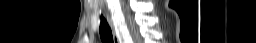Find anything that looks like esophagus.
<instances>
[{"label":"esophagus","mask_w":256,"mask_h":43,"mask_svg":"<svg viewBox=\"0 0 256 43\" xmlns=\"http://www.w3.org/2000/svg\"><path fill=\"white\" fill-rule=\"evenodd\" d=\"M109 23H110V25H111V27H112V29H113V22H112L111 19H109ZM113 39H114V43H119L118 39L115 37V34H114Z\"/></svg>","instance_id":"esophagus-1"}]
</instances>
